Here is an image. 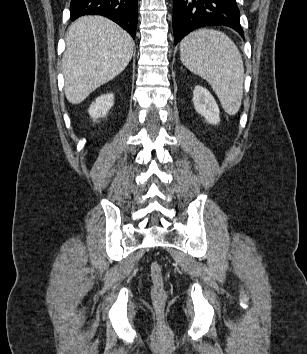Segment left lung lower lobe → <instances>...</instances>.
Segmentation results:
<instances>
[{"label":"left lung lower lobe","mask_w":307,"mask_h":354,"mask_svg":"<svg viewBox=\"0 0 307 354\" xmlns=\"http://www.w3.org/2000/svg\"><path fill=\"white\" fill-rule=\"evenodd\" d=\"M205 26H227L243 36L236 0H174L175 45L191 31Z\"/></svg>","instance_id":"left-lung-lower-lobe-1"}]
</instances>
